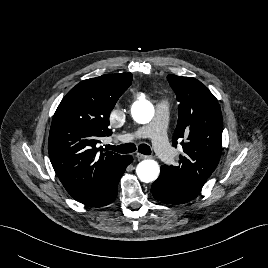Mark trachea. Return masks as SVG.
I'll list each match as a JSON object with an SVG mask.
<instances>
[{
  "mask_svg": "<svg viewBox=\"0 0 268 268\" xmlns=\"http://www.w3.org/2000/svg\"><path fill=\"white\" fill-rule=\"evenodd\" d=\"M107 150H112L118 153L127 154L132 153L136 150V145L134 143L121 144L118 146L106 145ZM138 151L144 155H150L151 149L147 144H140L138 146Z\"/></svg>",
  "mask_w": 268,
  "mask_h": 268,
  "instance_id": "trachea-1",
  "label": "trachea"
}]
</instances>
